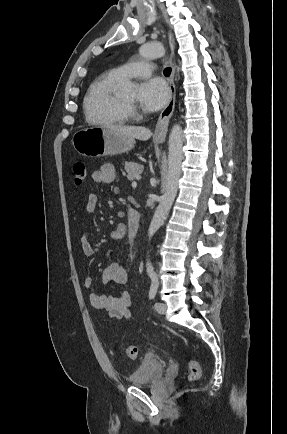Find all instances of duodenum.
I'll return each mask as SVG.
<instances>
[{"instance_id": "1", "label": "duodenum", "mask_w": 287, "mask_h": 434, "mask_svg": "<svg viewBox=\"0 0 287 434\" xmlns=\"http://www.w3.org/2000/svg\"><path fill=\"white\" fill-rule=\"evenodd\" d=\"M140 216L135 209H129L127 212V234L131 239H134L139 230Z\"/></svg>"}]
</instances>
